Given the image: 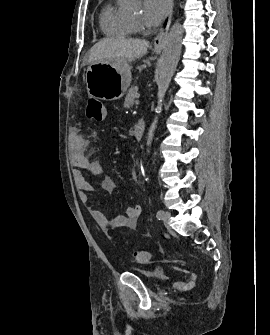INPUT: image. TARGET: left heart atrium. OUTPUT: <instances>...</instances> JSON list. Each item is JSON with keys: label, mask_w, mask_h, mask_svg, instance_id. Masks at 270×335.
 <instances>
[{"label": "left heart atrium", "mask_w": 270, "mask_h": 335, "mask_svg": "<svg viewBox=\"0 0 270 335\" xmlns=\"http://www.w3.org/2000/svg\"><path fill=\"white\" fill-rule=\"evenodd\" d=\"M170 13L168 0H145L143 22L147 27V36L154 35Z\"/></svg>", "instance_id": "left-heart-atrium-1"}]
</instances>
